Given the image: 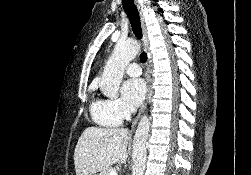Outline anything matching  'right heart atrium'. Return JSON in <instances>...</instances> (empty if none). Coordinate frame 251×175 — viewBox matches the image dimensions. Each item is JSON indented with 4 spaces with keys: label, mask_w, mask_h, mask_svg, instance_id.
<instances>
[{
    "label": "right heart atrium",
    "mask_w": 251,
    "mask_h": 175,
    "mask_svg": "<svg viewBox=\"0 0 251 175\" xmlns=\"http://www.w3.org/2000/svg\"><path fill=\"white\" fill-rule=\"evenodd\" d=\"M109 115L117 122L122 123L132 117L134 111L120 99L106 101Z\"/></svg>",
    "instance_id": "1"
}]
</instances>
